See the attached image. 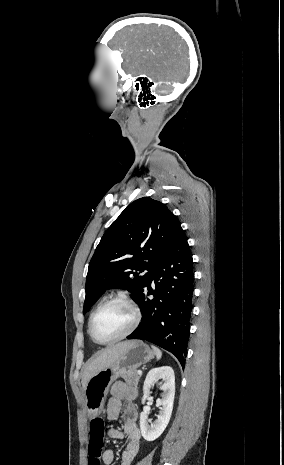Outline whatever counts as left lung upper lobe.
<instances>
[{
    "label": "left lung upper lobe",
    "mask_w": 284,
    "mask_h": 465,
    "mask_svg": "<svg viewBox=\"0 0 284 465\" xmlns=\"http://www.w3.org/2000/svg\"><path fill=\"white\" fill-rule=\"evenodd\" d=\"M180 227L177 217L157 200L143 197L127 206L91 258L83 313L110 288L129 290L137 302L154 265L170 248ZM144 270L148 273L142 275Z\"/></svg>",
    "instance_id": "obj_1"
}]
</instances>
